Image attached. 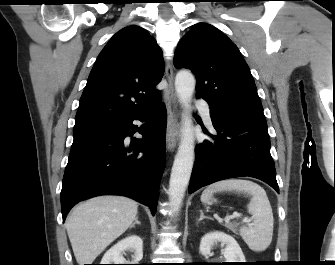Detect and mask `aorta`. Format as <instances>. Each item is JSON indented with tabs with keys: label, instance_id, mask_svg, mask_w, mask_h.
<instances>
[{
	"label": "aorta",
	"instance_id": "aorta-1",
	"mask_svg": "<svg viewBox=\"0 0 335 265\" xmlns=\"http://www.w3.org/2000/svg\"><path fill=\"white\" fill-rule=\"evenodd\" d=\"M175 89L183 108L181 141L171 170L169 200L172 210L178 212L188 186L194 164V135L190 101L195 89V78L189 71H179Z\"/></svg>",
	"mask_w": 335,
	"mask_h": 265
}]
</instances>
